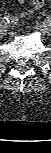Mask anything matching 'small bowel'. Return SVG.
<instances>
[{
	"mask_svg": "<svg viewBox=\"0 0 51 153\" xmlns=\"http://www.w3.org/2000/svg\"><path fill=\"white\" fill-rule=\"evenodd\" d=\"M17 2H18L19 5H22L26 2V0H17ZM45 2H46V0H42L40 5H36V1L31 0L32 7L29 10L18 11L16 13H13V14L8 16V19L11 22H16V21L20 20L21 18H24L25 16L30 15L37 10H40L44 6Z\"/></svg>",
	"mask_w": 51,
	"mask_h": 153,
	"instance_id": "c3829d8e",
	"label": "small bowel"
}]
</instances>
